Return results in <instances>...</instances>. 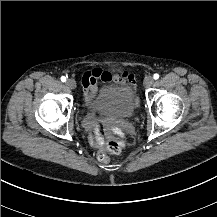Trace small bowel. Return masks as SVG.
<instances>
[{
  "label": "small bowel",
  "instance_id": "1",
  "mask_svg": "<svg viewBox=\"0 0 217 217\" xmlns=\"http://www.w3.org/2000/svg\"><path fill=\"white\" fill-rule=\"evenodd\" d=\"M98 81L113 83L118 87L132 90L135 78L134 75L127 70L115 74L110 71L87 70L81 78V83L84 87V97L87 102H91L94 99V86L97 85ZM84 126L89 131L90 145L97 150L103 148L106 139H110L112 134L122 135L123 131V124L119 122L113 125L111 129L108 128L105 134H103L97 115L96 118L86 117L84 119Z\"/></svg>",
  "mask_w": 217,
  "mask_h": 217
}]
</instances>
